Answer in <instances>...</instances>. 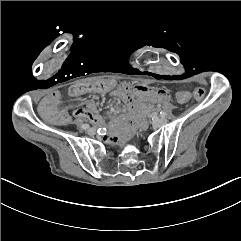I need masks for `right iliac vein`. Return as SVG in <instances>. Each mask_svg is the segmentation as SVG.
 Listing matches in <instances>:
<instances>
[{"instance_id": "right-iliac-vein-1", "label": "right iliac vein", "mask_w": 241, "mask_h": 241, "mask_svg": "<svg viewBox=\"0 0 241 241\" xmlns=\"http://www.w3.org/2000/svg\"><path fill=\"white\" fill-rule=\"evenodd\" d=\"M87 133H88L89 135H94V134L96 133V129H95V128H89V129L87 130Z\"/></svg>"}]
</instances>
